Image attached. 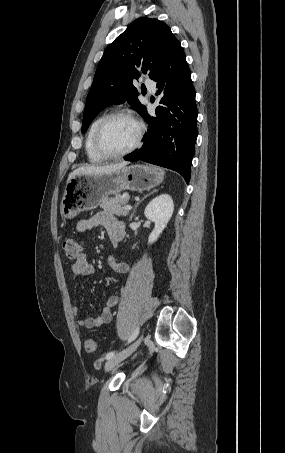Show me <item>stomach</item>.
I'll return each instance as SVG.
<instances>
[{
  "mask_svg": "<svg viewBox=\"0 0 285 453\" xmlns=\"http://www.w3.org/2000/svg\"><path fill=\"white\" fill-rule=\"evenodd\" d=\"M164 171L157 167L135 164L98 175H77L66 184L60 205L62 218L71 219L82 211L97 208L110 195L124 190L142 192L159 185Z\"/></svg>",
  "mask_w": 285,
  "mask_h": 453,
  "instance_id": "0dacf381",
  "label": "stomach"
}]
</instances>
